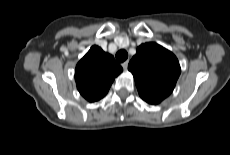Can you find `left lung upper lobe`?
Wrapping results in <instances>:
<instances>
[{
	"instance_id": "left-lung-upper-lobe-1",
	"label": "left lung upper lobe",
	"mask_w": 230,
	"mask_h": 155,
	"mask_svg": "<svg viewBox=\"0 0 230 155\" xmlns=\"http://www.w3.org/2000/svg\"><path fill=\"white\" fill-rule=\"evenodd\" d=\"M128 70L134 76L140 97L154 105L172 93L181 72L176 56L153 42L137 48Z\"/></svg>"
}]
</instances>
